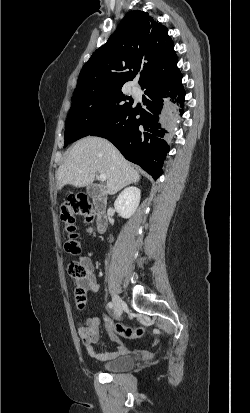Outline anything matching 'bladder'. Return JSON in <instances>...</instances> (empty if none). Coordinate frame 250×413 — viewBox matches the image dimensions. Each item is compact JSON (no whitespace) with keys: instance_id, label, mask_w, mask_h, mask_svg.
<instances>
[{"instance_id":"1","label":"bladder","mask_w":250,"mask_h":413,"mask_svg":"<svg viewBox=\"0 0 250 413\" xmlns=\"http://www.w3.org/2000/svg\"><path fill=\"white\" fill-rule=\"evenodd\" d=\"M135 365V358L131 355H123L102 364V369L106 372L114 373L130 370Z\"/></svg>"}]
</instances>
